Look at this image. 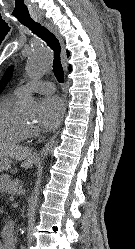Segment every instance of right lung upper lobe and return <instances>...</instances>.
Wrapping results in <instances>:
<instances>
[{"label": "right lung upper lobe", "mask_w": 135, "mask_h": 249, "mask_svg": "<svg viewBox=\"0 0 135 249\" xmlns=\"http://www.w3.org/2000/svg\"><path fill=\"white\" fill-rule=\"evenodd\" d=\"M67 56H69V52L68 51H67ZM69 70H71V66H70Z\"/></svg>", "instance_id": "cb5924a9"}]
</instances>
